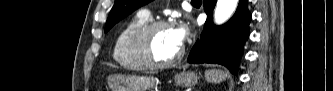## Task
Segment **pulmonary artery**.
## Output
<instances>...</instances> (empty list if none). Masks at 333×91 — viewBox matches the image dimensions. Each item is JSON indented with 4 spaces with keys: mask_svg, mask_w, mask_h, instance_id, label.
I'll return each mask as SVG.
<instances>
[{
    "mask_svg": "<svg viewBox=\"0 0 333 91\" xmlns=\"http://www.w3.org/2000/svg\"><path fill=\"white\" fill-rule=\"evenodd\" d=\"M140 13H141L142 15L148 17V18L150 17V12L147 11V10H142V11H140Z\"/></svg>",
    "mask_w": 333,
    "mask_h": 91,
    "instance_id": "pulmonary-artery-1",
    "label": "pulmonary artery"
}]
</instances>
